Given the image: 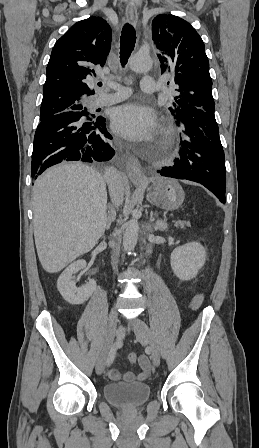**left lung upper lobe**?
<instances>
[{
  "mask_svg": "<svg viewBox=\"0 0 259 448\" xmlns=\"http://www.w3.org/2000/svg\"><path fill=\"white\" fill-rule=\"evenodd\" d=\"M152 38L161 74L175 72L172 83L180 94L169 108L174 118L191 108L214 112L209 61L196 30L180 17L160 14L152 21Z\"/></svg>",
  "mask_w": 259,
  "mask_h": 448,
  "instance_id": "1",
  "label": "left lung upper lobe"
}]
</instances>
